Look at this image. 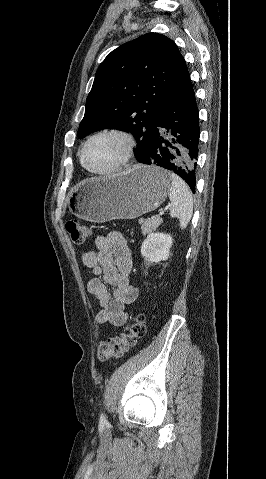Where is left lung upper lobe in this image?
Returning a JSON list of instances; mask_svg holds the SVG:
<instances>
[{"instance_id": "1", "label": "left lung upper lobe", "mask_w": 266, "mask_h": 479, "mask_svg": "<svg viewBox=\"0 0 266 479\" xmlns=\"http://www.w3.org/2000/svg\"><path fill=\"white\" fill-rule=\"evenodd\" d=\"M187 75L177 45L162 34L147 33L119 46L96 71L78 138L107 128L128 131L141 162L162 108Z\"/></svg>"}]
</instances>
